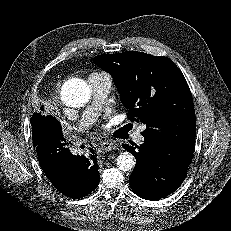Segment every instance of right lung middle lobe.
Masks as SVG:
<instances>
[{
  "instance_id": "obj_1",
  "label": "right lung middle lobe",
  "mask_w": 231,
  "mask_h": 231,
  "mask_svg": "<svg viewBox=\"0 0 231 231\" xmlns=\"http://www.w3.org/2000/svg\"><path fill=\"white\" fill-rule=\"evenodd\" d=\"M43 116L40 113H35L32 117H31V123L33 122H37L39 119H42Z\"/></svg>"
}]
</instances>
